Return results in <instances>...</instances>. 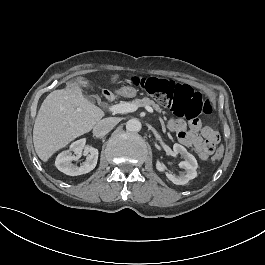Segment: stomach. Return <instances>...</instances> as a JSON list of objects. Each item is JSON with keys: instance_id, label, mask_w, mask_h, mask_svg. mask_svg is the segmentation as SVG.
<instances>
[{"instance_id": "1", "label": "stomach", "mask_w": 265, "mask_h": 265, "mask_svg": "<svg viewBox=\"0 0 265 265\" xmlns=\"http://www.w3.org/2000/svg\"><path fill=\"white\" fill-rule=\"evenodd\" d=\"M121 94L126 97H136L137 90L132 86H126L122 89Z\"/></svg>"}]
</instances>
